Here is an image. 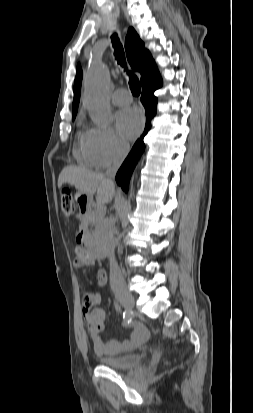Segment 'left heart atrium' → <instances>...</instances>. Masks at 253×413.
Listing matches in <instances>:
<instances>
[{
	"mask_svg": "<svg viewBox=\"0 0 253 413\" xmlns=\"http://www.w3.org/2000/svg\"><path fill=\"white\" fill-rule=\"evenodd\" d=\"M116 124L123 138L133 139L143 128L144 116L141 110L136 107L126 108L117 114Z\"/></svg>",
	"mask_w": 253,
	"mask_h": 413,
	"instance_id": "39dd6f15",
	"label": "left heart atrium"
}]
</instances>
